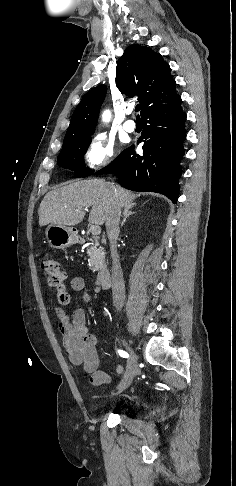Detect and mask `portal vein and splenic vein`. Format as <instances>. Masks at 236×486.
I'll use <instances>...</instances> for the list:
<instances>
[{
    "label": "portal vein and splenic vein",
    "mask_w": 236,
    "mask_h": 486,
    "mask_svg": "<svg viewBox=\"0 0 236 486\" xmlns=\"http://www.w3.org/2000/svg\"><path fill=\"white\" fill-rule=\"evenodd\" d=\"M90 232L92 233V235H99L101 233V227L99 225H92L90 227Z\"/></svg>",
    "instance_id": "1"
}]
</instances>
